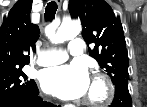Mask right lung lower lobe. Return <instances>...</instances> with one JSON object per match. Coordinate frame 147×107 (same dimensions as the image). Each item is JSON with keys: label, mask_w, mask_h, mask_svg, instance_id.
I'll return each mask as SVG.
<instances>
[{"label": "right lung lower lobe", "mask_w": 147, "mask_h": 107, "mask_svg": "<svg viewBox=\"0 0 147 107\" xmlns=\"http://www.w3.org/2000/svg\"><path fill=\"white\" fill-rule=\"evenodd\" d=\"M38 94L37 88L35 92L18 95L0 104V107H56V105L44 102Z\"/></svg>", "instance_id": "98d812e1"}]
</instances>
